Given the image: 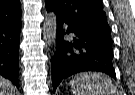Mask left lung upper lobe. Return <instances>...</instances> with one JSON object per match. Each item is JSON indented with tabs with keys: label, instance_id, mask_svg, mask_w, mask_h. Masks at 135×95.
<instances>
[{
	"label": "left lung upper lobe",
	"instance_id": "5c2ea615",
	"mask_svg": "<svg viewBox=\"0 0 135 95\" xmlns=\"http://www.w3.org/2000/svg\"><path fill=\"white\" fill-rule=\"evenodd\" d=\"M46 8L76 25L110 31L101 0H46Z\"/></svg>",
	"mask_w": 135,
	"mask_h": 95
}]
</instances>
